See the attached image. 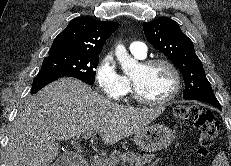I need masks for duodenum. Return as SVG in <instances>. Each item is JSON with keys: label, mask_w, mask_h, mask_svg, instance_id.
I'll use <instances>...</instances> for the list:
<instances>
[{"label": "duodenum", "mask_w": 231, "mask_h": 166, "mask_svg": "<svg viewBox=\"0 0 231 166\" xmlns=\"http://www.w3.org/2000/svg\"><path fill=\"white\" fill-rule=\"evenodd\" d=\"M89 157L85 153L69 152L62 161V166H88Z\"/></svg>", "instance_id": "obj_1"}]
</instances>
